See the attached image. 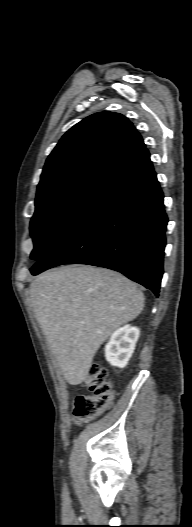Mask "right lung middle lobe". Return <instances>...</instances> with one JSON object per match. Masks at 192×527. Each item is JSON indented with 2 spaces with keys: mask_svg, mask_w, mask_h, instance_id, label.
<instances>
[{
  "mask_svg": "<svg viewBox=\"0 0 192 527\" xmlns=\"http://www.w3.org/2000/svg\"><path fill=\"white\" fill-rule=\"evenodd\" d=\"M106 183L104 179L85 177L37 193L30 223L34 241L31 259L39 261L49 252Z\"/></svg>",
  "mask_w": 192,
  "mask_h": 527,
  "instance_id": "obj_1",
  "label": "right lung middle lobe"
}]
</instances>
